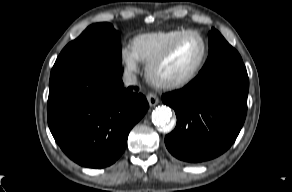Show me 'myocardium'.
Here are the masks:
<instances>
[{"label": "myocardium", "instance_id": "f54148a6", "mask_svg": "<svg viewBox=\"0 0 292 192\" xmlns=\"http://www.w3.org/2000/svg\"><path fill=\"white\" fill-rule=\"evenodd\" d=\"M189 35H196L202 41L203 53L199 63L189 74H187L184 77L173 80H165L158 77L157 72L160 66L172 55V53L175 51L179 43ZM208 57L209 43L205 36L197 30H186L180 35H178L154 60H152L147 65L146 76L147 79L158 88L165 90L182 88L193 82L199 76V74L202 72L207 63Z\"/></svg>", "mask_w": 292, "mask_h": 192}]
</instances>
